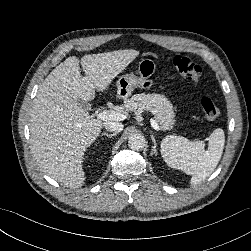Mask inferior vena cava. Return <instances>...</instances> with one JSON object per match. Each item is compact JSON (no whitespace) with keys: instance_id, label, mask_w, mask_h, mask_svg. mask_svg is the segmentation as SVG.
<instances>
[{"instance_id":"obj_1","label":"inferior vena cava","mask_w":251,"mask_h":251,"mask_svg":"<svg viewBox=\"0 0 251 251\" xmlns=\"http://www.w3.org/2000/svg\"><path fill=\"white\" fill-rule=\"evenodd\" d=\"M123 124L120 122L107 121L104 122V128L107 131H113L115 133H119L123 130Z\"/></svg>"}]
</instances>
